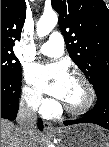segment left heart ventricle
I'll list each match as a JSON object with an SVG mask.
<instances>
[{
	"label": "left heart ventricle",
	"instance_id": "1",
	"mask_svg": "<svg viewBox=\"0 0 109 147\" xmlns=\"http://www.w3.org/2000/svg\"><path fill=\"white\" fill-rule=\"evenodd\" d=\"M89 98V92L82 81L70 78L62 100L72 108L83 106Z\"/></svg>",
	"mask_w": 109,
	"mask_h": 147
}]
</instances>
